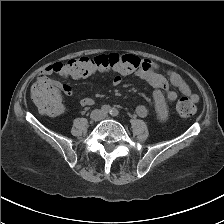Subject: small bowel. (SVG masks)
Returning <instances> with one entry per match:
<instances>
[{"mask_svg": "<svg viewBox=\"0 0 224 224\" xmlns=\"http://www.w3.org/2000/svg\"><path fill=\"white\" fill-rule=\"evenodd\" d=\"M159 65L149 59H143L139 69L135 72L136 77L147 82L152 87V98L157 117L161 122H165L168 118L167 102H173L178 98V92L189 96L194 102L197 101V96L191 92V89L185 79L173 70L167 72L168 78L158 72ZM52 74L67 78L70 77L66 72L64 63L54 62L45 66L37 75L36 82L48 83L58 90H61L68 96L73 94L72 88L67 84H61L58 81L51 79ZM124 74H116L111 85L118 87L123 83ZM82 106H90L94 103L91 96H85L79 101ZM136 114L139 117H146L148 110L144 105H137L135 108Z\"/></svg>", "mask_w": 224, "mask_h": 224, "instance_id": "obj_1", "label": "small bowel"}]
</instances>
